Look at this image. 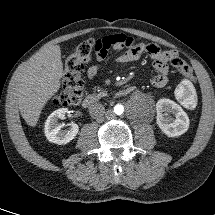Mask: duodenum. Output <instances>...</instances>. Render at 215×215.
<instances>
[{
  "label": "duodenum",
  "instance_id": "410a0bca",
  "mask_svg": "<svg viewBox=\"0 0 215 215\" xmlns=\"http://www.w3.org/2000/svg\"><path fill=\"white\" fill-rule=\"evenodd\" d=\"M133 91V87H127L123 90H121L120 92H118L117 97L118 98H123L126 97L127 95H129L131 92ZM100 97L97 94H89L87 95L83 101H82V106L84 108H89L92 107L93 105H95L97 102H99Z\"/></svg>",
  "mask_w": 215,
  "mask_h": 215
}]
</instances>
